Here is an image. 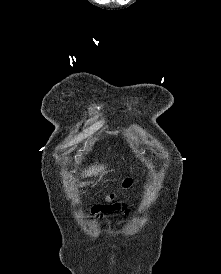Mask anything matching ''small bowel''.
Here are the masks:
<instances>
[{"label":"small bowel","instance_id":"obj_1","mask_svg":"<svg viewBox=\"0 0 221 274\" xmlns=\"http://www.w3.org/2000/svg\"><path fill=\"white\" fill-rule=\"evenodd\" d=\"M116 212H121L125 216L129 215V209H127L124 205H96L91 210V219L94 221H100L106 216Z\"/></svg>","mask_w":221,"mask_h":274}]
</instances>
